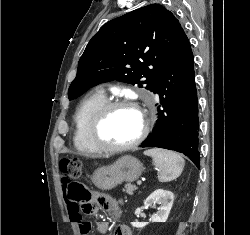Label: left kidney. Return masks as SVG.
<instances>
[{
	"instance_id": "5707ae66",
	"label": "left kidney",
	"mask_w": 250,
	"mask_h": 235,
	"mask_svg": "<svg viewBox=\"0 0 250 235\" xmlns=\"http://www.w3.org/2000/svg\"><path fill=\"white\" fill-rule=\"evenodd\" d=\"M173 201L174 194L171 191L164 189H157L150 196H148V198L144 201V205L146 207H152L155 204L160 205L158 212L152 216V222H166L173 206ZM140 213L141 208H137L135 210V215H139ZM131 224L135 228H143L146 226L145 222H138L137 220Z\"/></svg>"
}]
</instances>
